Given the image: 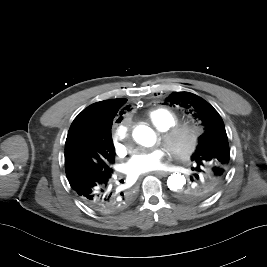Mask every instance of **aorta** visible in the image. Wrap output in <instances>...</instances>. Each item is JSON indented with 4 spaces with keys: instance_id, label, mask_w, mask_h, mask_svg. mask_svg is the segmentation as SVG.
I'll list each match as a JSON object with an SVG mask.
<instances>
[{
    "instance_id": "762f6f07",
    "label": "aorta",
    "mask_w": 267,
    "mask_h": 267,
    "mask_svg": "<svg viewBox=\"0 0 267 267\" xmlns=\"http://www.w3.org/2000/svg\"><path fill=\"white\" fill-rule=\"evenodd\" d=\"M132 136L134 140L145 147H152L156 142L154 131L145 125H139L133 130ZM186 178L181 173H173L167 179V186L170 190L177 192L184 188Z\"/></svg>"
}]
</instances>
